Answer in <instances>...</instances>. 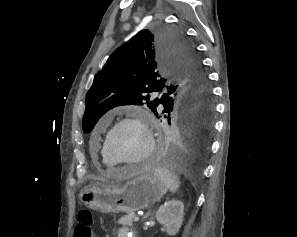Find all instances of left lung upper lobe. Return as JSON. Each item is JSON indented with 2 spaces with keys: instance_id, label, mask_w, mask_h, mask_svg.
Wrapping results in <instances>:
<instances>
[{
  "instance_id": "left-lung-upper-lobe-1",
  "label": "left lung upper lobe",
  "mask_w": 297,
  "mask_h": 237,
  "mask_svg": "<svg viewBox=\"0 0 297 237\" xmlns=\"http://www.w3.org/2000/svg\"><path fill=\"white\" fill-rule=\"evenodd\" d=\"M162 88L167 94L151 100L150 93ZM168 98L197 106L212 100L201 62L185 36L165 27L142 30L95 75L86 96L83 131L89 133L105 112L119 105H147L159 116V105L164 113Z\"/></svg>"
}]
</instances>
